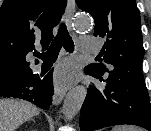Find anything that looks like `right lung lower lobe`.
I'll use <instances>...</instances> for the list:
<instances>
[{"instance_id":"right-lung-lower-lobe-1","label":"right lung lower lobe","mask_w":151,"mask_h":131,"mask_svg":"<svg viewBox=\"0 0 151 131\" xmlns=\"http://www.w3.org/2000/svg\"><path fill=\"white\" fill-rule=\"evenodd\" d=\"M52 73L53 70L44 78H40L38 74L25 77L4 89H0V96L24 99L46 110L51 105L54 93Z\"/></svg>"}]
</instances>
